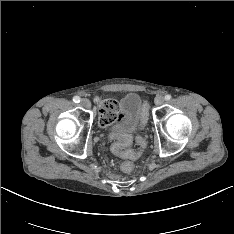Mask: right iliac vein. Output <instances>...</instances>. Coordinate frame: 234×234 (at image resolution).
<instances>
[{
	"instance_id": "63e3f726",
	"label": "right iliac vein",
	"mask_w": 234,
	"mask_h": 234,
	"mask_svg": "<svg viewBox=\"0 0 234 234\" xmlns=\"http://www.w3.org/2000/svg\"><path fill=\"white\" fill-rule=\"evenodd\" d=\"M81 105L87 109H89L91 107L90 101L86 98L81 100Z\"/></svg>"
}]
</instances>
